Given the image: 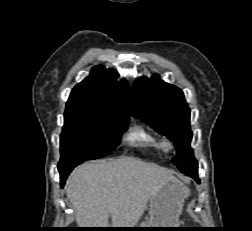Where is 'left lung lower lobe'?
Masks as SVG:
<instances>
[{
    "label": "left lung lower lobe",
    "instance_id": "1",
    "mask_svg": "<svg viewBox=\"0 0 252 231\" xmlns=\"http://www.w3.org/2000/svg\"><path fill=\"white\" fill-rule=\"evenodd\" d=\"M182 173L191 176V177L194 178L196 181H199V179H198V177H197L198 169L187 170V171H184V172H182Z\"/></svg>",
    "mask_w": 252,
    "mask_h": 231
}]
</instances>
